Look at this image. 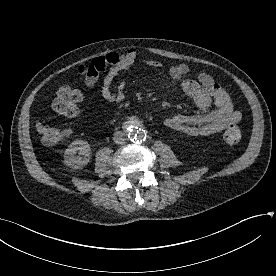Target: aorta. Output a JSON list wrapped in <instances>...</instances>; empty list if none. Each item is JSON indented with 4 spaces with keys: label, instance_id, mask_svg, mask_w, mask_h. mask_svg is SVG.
<instances>
[{
    "label": "aorta",
    "instance_id": "1",
    "mask_svg": "<svg viewBox=\"0 0 276 276\" xmlns=\"http://www.w3.org/2000/svg\"><path fill=\"white\" fill-rule=\"evenodd\" d=\"M128 137L134 141L142 142L146 139V131L140 125L131 124L127 128Z\"/></svg>",
    "mask_w": 276,
    "mask_h": 276
}]
</instances>
